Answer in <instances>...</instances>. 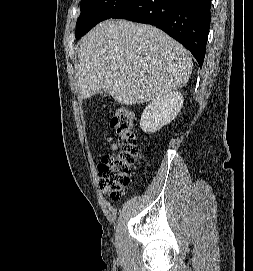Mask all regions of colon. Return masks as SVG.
<instances>
[{"mask_svg":"<svg viewBox=\"0 0 253 271\" xmlns=\"http://www.w3.org/2000/svg\"><path fill=\"white\" fill-rule=\"evenodd\" d=\"M111 124L118 137L119 150L102 157L98 178L101 190L116 201L130 184L137 163L138 143L133 130L135 116L129 109L119 107L112 116Z\"/></svg>","mask_w":253,"mask_h":271,"instance_id":"5ec220e1","label":"colon"}]
</instances>
